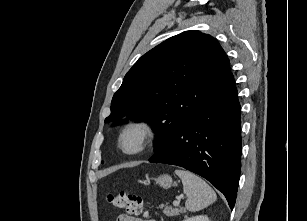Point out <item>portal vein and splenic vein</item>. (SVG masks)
<instances>
[{"label":"portal vein and splenic vein","mask_w":307,"mask_h":221,"mask_svg":"<svg viewBox=\"0 0 307 221\" xmlns=\"http://www.w3.org/2000/svg\"><path fill=\"white\" fill-rule=\"evenodd\" d=\"M173 205H174V206H179V201H174V202H173Z\"/></svg>","instance_id":"portal-vein-and-splenic-vein-1"}]
</instances>
